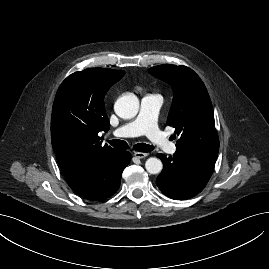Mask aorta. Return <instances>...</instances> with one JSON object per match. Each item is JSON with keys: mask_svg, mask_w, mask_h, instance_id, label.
Wrapping results in <instances>:
<instances>
[{"mask_svg": "<svg viewBox=\"0 0 269 269\" xmlns=\"http://www.w3.org/2000/svg\"><path fill=\"white\" fill-rule=\"evenodd\" d=\"M116 114L123 119L135 117L139 110V100L136 95L129 93L120 97L115 103ZM145 168L150 174H159L162 171L163 164L160 159L150 157L145 163Z\"/></svg>", "mask_w": 269, "mask_h": 269, "instance_id": "aorta-1", "label": "aorta"}]
</instances>
